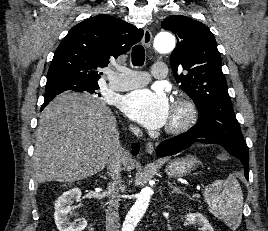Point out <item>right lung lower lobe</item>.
<instances>
[{"label": "right lung lower lobe", "mask_w": 268, "mask_h": 231, "mask_svg": "<svg viewBox=\"0 0 268 231\" xmlns=\"http://www.w3.org/2000/svg\"><path fill=\"white\" fill-rule=\"evenodd\" d=\"M45 106H46V105H43L42 108H41V110H42ZM138 151H139V145H138V144H133V146H132V152H133L134 154H137Z\"/></svg>", "instance_id": "right-lung-lower-lobe-1"}]
</instances>
